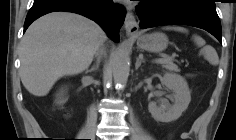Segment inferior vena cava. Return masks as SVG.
<instances>
[{
  "instance_id": "inferior-vena-cava-1",
  "label": "inferior vena cava",
  "mask_w": 236,
  "mask_h": 140,
  "mask_svg": "<svg viewBox=\"0 0 236 140\" xmlns=\"http://www.w3.org/2000/svg\"><path fill=\"white\" fill-rule=\"evenodd\" d=\"M99 53H100V54H102V53H103V49H102V48L99 50Z\"/></svg>"
}]
</instances>
